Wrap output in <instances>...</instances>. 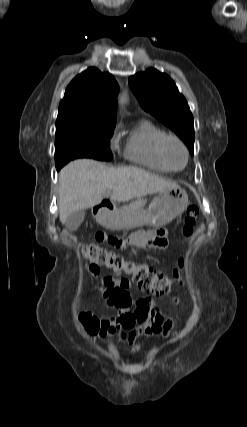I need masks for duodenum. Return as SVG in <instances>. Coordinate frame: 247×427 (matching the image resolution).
Returning <instances> with one entry per match:
<instances>
[{
  "label": "duodenum",
  "mask_w": 247,
  "mask_h": 427,
  "mask_svg": "<svg viewBox=\"0 0 247 427\" xmlns=\"http://www.w3.org/2000/svg\"><path fill=\"white\" fill-rule=\"evenodd\" d=\"M112 209V205L109 202H101L97 206V212L100 214H104L109 212Z\"/></svg>",
  "instance_id": "duodenum-1"
}]
</instances>
